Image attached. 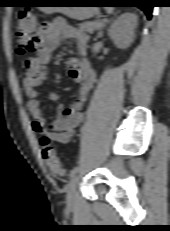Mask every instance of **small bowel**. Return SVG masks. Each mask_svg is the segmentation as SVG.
I'll return each instance as SVG.
<instances>
[{"mask_svg":"<svg viewBox=\"0 0 170 231\" xmlns=\"http://www.w3.org/2000/svg\"><path fill=\"white\" fill-rule=\"evenodd\" d=\"M38 46L36 55L29 58L23 67V86L28 98L27 110L32 122V130L47 135L52 140L65 144L73 136L77 126L83 119L82 108L95 83V74L86 58L87 35L82 31L68 25L63 19H55L41 26L38 32ZM65 39L73 40L79 52V58H73L65 63L70 78L79 84L77 98L68 105H62L60 112L51 126L47 127L40 108V91L47 80L46 65L52 53L60 42ZM50 100H59L57 93H50Z\"/></svg>","mask_w":170,"mask_h":231,"instance_id":"small-bowel-1","label":"small bowel"}]
</instances>
